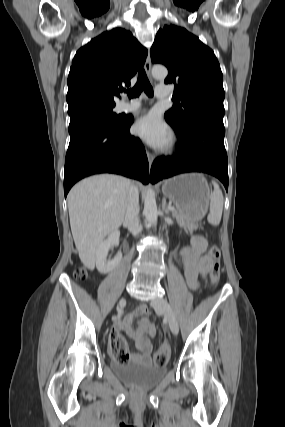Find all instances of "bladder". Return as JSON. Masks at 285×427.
I'll return each instance as SVG.
<instances>
[{
  "label": "bladder",
  "mask_w": 285,
  "mask_h": 427,
  "mask_svg": "<svg viewBox=\"0 0 285 427\" xmlns=\"http://www.w3.org/2000/svg\"><path fill=\"white\" fill-rule=\"evenodd\" d=\"M112 369L122 380L139 389L156 386L167 372L165 366L144 363L113 362Z\"/></svg>",
  "instance_id": "31cf9c89"
}]
</instances>
